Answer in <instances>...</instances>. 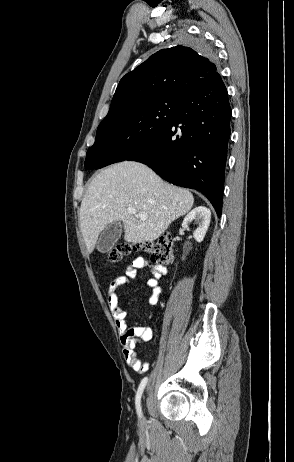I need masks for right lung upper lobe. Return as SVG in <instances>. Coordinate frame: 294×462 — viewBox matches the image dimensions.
I'll use <instances>...</instances> for the list:
<instances>
[{
  "label": "right lung upper lobe",
  "instance_id": "right-lung-upper-lobe-1",
  "mask_svg": "<svg viewBox=\"0 0 294 462\" xmlns=\"http://www.w3.org/2000/svg\"><path fill=\"white\" fill-rule=\"evenodd\" d=\"M220 77L213 53L180 45L162 49L120 80L109 113L164 95L185 97Z\"/></svg>",
  "mask_w": 294,
  "mask_h": 462
}]
</instances>
